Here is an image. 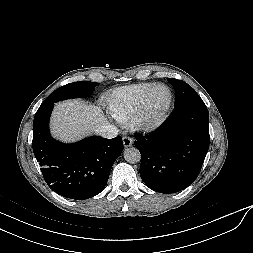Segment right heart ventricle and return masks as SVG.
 <instances>
[{
  "label": "right heart ventricle",
  "instance_id": "obj_1",
  "mask_svg": "<svg viewBox=\"0 0 253 253\" xmlns=\"http://www.w3.org/2000/svg\"><path fill=\"white\" fill-rule=\"evenodd\" d=\"M154 83L144 82L113 90L107 97L110 114L120 123H128L136 113L144 94Z\"/></svg>",
  "mask_w": 253,
  "mask_h": 253
}]
</instances>
